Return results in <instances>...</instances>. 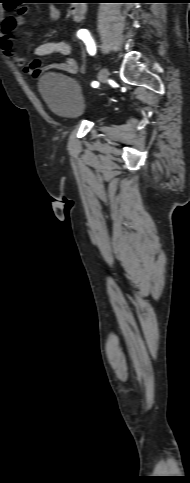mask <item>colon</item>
I'll list each match as a JSON object with an SVG mask.
<instances>
[{
	"instance_id": "5ec220e1",
	"label": "colon",
	"mask_w": 190,
	"mask_h": 483,
	"mask_svg": "<svg viewBox=\"0 0 190 483\" xmlns=\"http://www.w3.org/2000/svg\"><path fill=\"white\" fill-rule=\"evenodd\" d=\"M6 3H7L8 5H10V6H11V8H13V7L15 6V4H14V3H11V1H6Z\"/></svg>"
}]
</instances>
